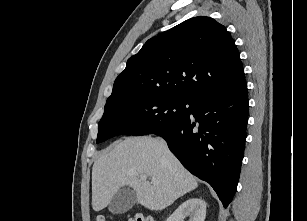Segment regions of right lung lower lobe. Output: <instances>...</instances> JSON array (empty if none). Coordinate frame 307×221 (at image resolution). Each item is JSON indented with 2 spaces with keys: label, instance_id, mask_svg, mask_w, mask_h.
<instances>
[{
  "label": "right lung lower lobe",
  "instance_id": "right-lung-lower-lobe-1",
  "mask_svg": "<svg viewBox=\"0 0 307 221\" xmlns=\"http://www.w3.org/2000/svg\"><path fill=\"white\" fill-rule=\"evenodd\" d=\"M248 122L247 85L202 98L185 119L154 134L163 137L182 165L208 182L226 208L237 189Z\"/></svg>",
  "mask_w": 307,
  "mask_h": 221
}]
</instances>
